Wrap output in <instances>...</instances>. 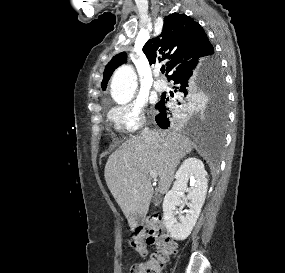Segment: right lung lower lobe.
Here are the masks:
<instances>
[{"label": "right lung lower lobe", "instance_id": "1", "mask_svg": "<svg viewBox=\"0 0 285 273\" xmlns=\"http://www.w3.org/2000/svg\"><path fill=\"white\" fill-rule=\"evenodd\" d=\"M211 57L201 59L189 66H186L175 72L168 80H173L175 92H180L183 96L189 94L205 79V71L208 67ZM168 98L162 97L160 102L156 104L155 108L159 110L156 116V122L161 128H168L177 118H182L187 110L191 107V103L182 105L178 103V107L174 110H169L166 107Z\"/></svg>", "mask_w": 285, "mask_h": 273}]
</instances>
